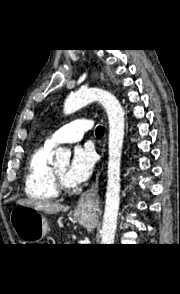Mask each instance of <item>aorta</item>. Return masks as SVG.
I'll return each instance as SVG.
<instances>
[{"label":"aorta","mask_w":180,"mask_h":294,"mask_svg":"<svg viewBox=\"0 0 180 294\" xmlns=\"http://www.w3.org/2000/svg\"><path fill=\"white\" fill-rule=\"evenodd\" d=\"M98 101L105 109L109 119L108 170L105 211L101 230V244L114 243L117 218L120 205V166L124 138V111L121 104L111 93L99 89H80L69 95L64 103V113L72 114L85 105ZM71 152L64 148H57L55 152L56 164H69Z\"/></svg>","instance_id":"762f6f07"}]
</instances>
